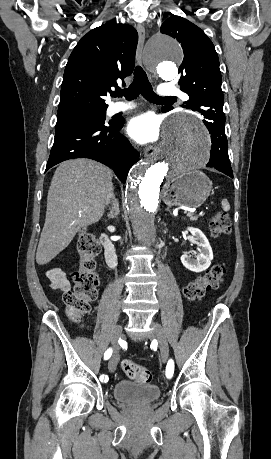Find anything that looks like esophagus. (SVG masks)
<instances>
[{
  "mask_svg": "<svg viewBox=\"0 0 271 459\" xmlns=\"http://www.w3.org/2000/svg\"><path fill=\"white\" fill-rule=\"evenodd\" d=\"M137 32H138L139 40H138V45H137V50H136V60L139 63L138 65L140 69H149L152 72L154 70V67H152L153 65L152 61L145 60V55L143 52L145 40L148 38L147 31L145 30L143 25L139 24L137 25ZM149 76L151 77L150 74ZM144 156L147 157L148 159H151L152 161L156 160L157 153H156V148L153 144L145 148Z\"/></svg>",
  "mask_w": 271,
  "mask_h": 459,
  "instance_id": "obj_1",
  "label": "esophagus"
}]
</instances>
